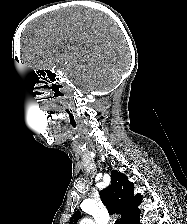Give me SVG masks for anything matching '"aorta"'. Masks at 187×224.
Wrapping results in <instances>:
<instances>
[{
    "label": "aorta",
    "instance_id": "obj_1",
    "mask_svg": "<svg viewBox=\"0 0 187 224\" xmlns=\"http://www.w3.org/2000/svg\"><path fill=\"white\" fill-rule=\"evenodd\" d=\"M80 224H94V222L89 218H85L80 222Z\"/></svg>",
    "mask_w": 187,
    "mask_h": 224
}]
</instances>
